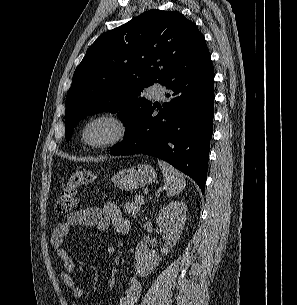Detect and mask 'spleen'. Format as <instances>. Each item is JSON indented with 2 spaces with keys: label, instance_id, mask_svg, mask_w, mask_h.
I'll use <instances>...</instances> for the list:
<instances>
[{
  "label": "spleen",
  "instance_id": "3e777b00",
  "mask_svg": "<svg viewBox=\"0 0 297 305\" xmlns=\"http://www.w3.org/2000/svg\"><path fill=\"white\" fill-rule=\"evenodd\" d=\"M158 165L164 176L168 196L178 195L186 186L183 175L168 163L158 160Z\"/></svg>",
  "mask_w": 297,
  "mask_h": 305
}]
</instances>
